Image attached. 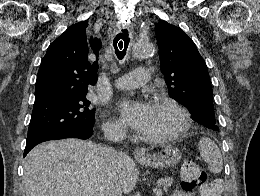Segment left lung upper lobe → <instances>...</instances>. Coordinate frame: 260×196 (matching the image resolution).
<instances>
[{"label":"left lung upper lobe","instance_id":"5c2ea615","mask_svg":"<svg viewBox=\"0 0 260 196\" xmlns=\"http://www.w3.org/2000/svg\"><path fill=\"white\" fill-rule=\"evenodd\" d=\"M155 33L169 96L190 112L213 107L208 69L192 39L181 28L163 20L156 24ZM205 127L219 131L216 122Z\"/></svg>","mask_w":260,"mask_h":196}]
</instances>
